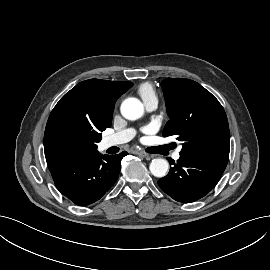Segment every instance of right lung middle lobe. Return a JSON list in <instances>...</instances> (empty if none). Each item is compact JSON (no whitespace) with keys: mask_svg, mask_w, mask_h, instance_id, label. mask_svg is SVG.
Listing matches in <instances>:
<instances>
[{"mask_svg":"<svg viewBox=\"0 0 270 270\" xmlns=\"http://www.w3.org/2000/svg\"><path fill=\"white\" fill-rule=\"evenodd\" d=\"M101 136L91 130L65 125L56 131L53 145L61 155L78 156L96 149V143L101 140Z\"/></svg>","mask_w":270,"mask_h":270,"instance_id":"1","label":"right lung middle lobe"}]
</instances>
